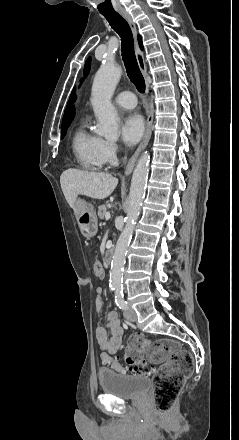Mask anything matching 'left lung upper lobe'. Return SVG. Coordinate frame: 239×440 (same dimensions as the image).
<instances>
[{
	"mask_svg": "<svg viewBox=\"0 0 239 440\" xmlns=\"http://www.w3.org/2000/svg\"><path fill=\"white\" fill-rule=\"evenodd\" d=\"M90 61H91V59L89 57L85 63V66H84V76L85 77L87 76V74L89 73V70H90Z\"/></svg>",
	"mask_w": 239,
	"mask_h": 440,
	"instance_id": "5c2ea615",
	"label": "left lung upper lobe"
}]
</instances>
